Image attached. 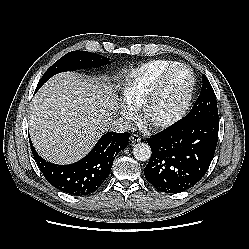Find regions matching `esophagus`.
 Instances as JSON below:
<instances>
[{"label":"esophagus","mask_w":249,"mask_h":249,"mask_svg":"<svg viewBox=\"0 0 249 249\" xmlns=\"http://www.w3.org/2000/svg\"><path fill=\"white\" fill-rule=\"evenodd\" d=\"M131 142L136 143L141 140V137L138 134H132L130 137Z\"/></svg>","instance_id":"obj_1"}]
</instances>
